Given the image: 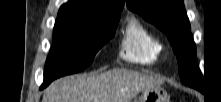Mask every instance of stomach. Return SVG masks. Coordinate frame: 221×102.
<instances>
[{"label": "stomach", "instance_id": "0dacf381", "mask_svg": "<svg viewBox=\"0 0 221 102\" xmlns=\"http://www.w3.org/2000/svg\"><path fill=\"white\" fill-rule=\"evenodd\" d=\"M135 102H168V94L163 88L155 86L143 90L142 96Z\"/></svg>", "mask_w": 221, "mask_h": 102}]
</instances>
